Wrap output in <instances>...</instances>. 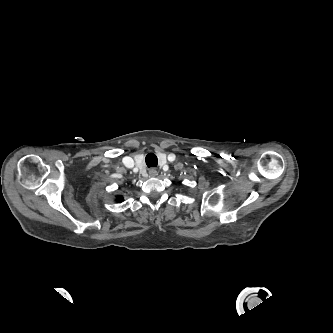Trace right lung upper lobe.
<instances>
[{"mask_svg":"<svg viewBox=\"0 0 333 333\" xmlns=\"http://www.w3.org/2000/svg\"><path fill=\"white\" fill-rule=\"evenodd\" d=\"M122 200H123V198L121 196L116 197L117 202H121Z\"/></svg>","mask_w":333,"mask_h":333,"instance_id":"1","label":"right lung upper lobe"}]
</instances>
